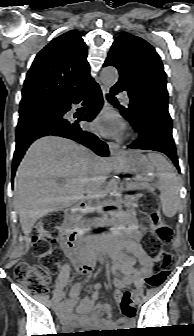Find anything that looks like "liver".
<instances>
[{"instance_id": "6515ba94", "label": "liver", "mask_w": 194, "mask_h": 336, "mask_svg": "<svg viewBox=\"0 0 194 336\" xmlns=\"http://www.w3.org/2000/svg\"><path fill=\"white\" fill-rule=\"evenodd\" d=\"M92 156L86 147L61 137H43L29 147L14 181L15 205L25 235L41 217L82 200L96 175L104 182L114 163Z\"/></svg>"}]
</instances>
